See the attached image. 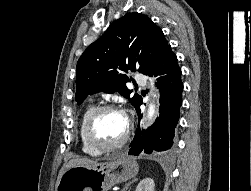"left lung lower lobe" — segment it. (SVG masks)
<instances>
[{
  "instance_id": "1",
  "label": "left lung lower lobe",
  "mask_w": 251,
  "mask_h": 191,
  "mask_svg": "<svg viewBox=\"0 0 251 191\" xmlns=\"http://www.w3.org/2000/svg\"><path fill=\"white\" fill-rule=\"evenodd\" d=\"M152 75L158 77L157 85L161 95L159 117L147 130L141 131L138 125L128 152L129 155L138 156L140 153L164 152L170 150L173 145L174 132L179 121V112L182 104L183 83L177 57L171 49L163 54L150 74V76ZM141 104L142 98L135 106L139 119L142 117Z\"/></svg>"
}]
</instances>
